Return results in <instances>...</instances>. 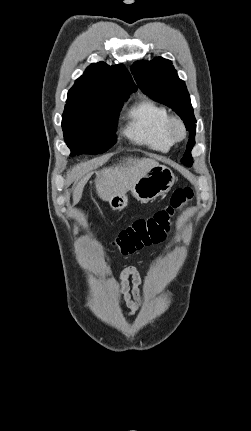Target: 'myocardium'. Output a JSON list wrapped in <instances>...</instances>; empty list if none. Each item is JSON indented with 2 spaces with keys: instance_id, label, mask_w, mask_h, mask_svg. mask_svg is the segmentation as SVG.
Masks as SVG:
<instances>
[{
  "instance_id": "1",
  "label": "myocardium",
  "mask_w": 251,
  "mask_h": 431,
  "mask_svg": "<svg viewBox=\"0 0 251 431\" xmlns=\"http://www.w3.org/2000/svg\"><path fill=\"white\" fill-rule=\"evenodd\" d=\"M167 133L173 142L185 139L187 129L184 121L178 116H170L167 121Z\"/></svg>"
}]
</instances>
